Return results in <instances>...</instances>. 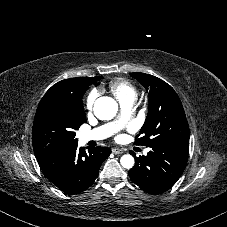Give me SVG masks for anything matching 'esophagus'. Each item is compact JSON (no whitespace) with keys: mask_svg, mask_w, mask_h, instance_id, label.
<instances>
[{"mask_svg":"<svg viewBox=\"0 0 227 227\" xmlns=\"http://www.w3.org/2000/svg\"><path fill=\"white\" fill-rule=\"evenodd\" d=\"M112 152H113L114 154H122V153H123V150H122V149H119V148H113V149H112Z\"/></svg>","mask_w":227,"mask_h":227,"instance_id":"obj_1","label":"esophagus"}]
</instances>
